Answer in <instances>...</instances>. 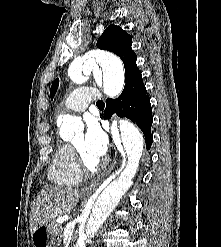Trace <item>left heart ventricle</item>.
I'll return each mask as SVG.
<instances>
[{
    "mask_svg": "<svg viewBox=\"0 0 221 247\" xmlns=\"http://www.w3.org/2000/svg\"><path fill=\"white\" fill-rule=\"evenodd\" d=\"M73 144L80 150V152L85 156V158L90 162H95L97 159L90 156L84 148V136L82 134L78 135L74 141Z\"/></svg>",
    "mask_w": 221,
    "mask_h": 247,
    "instance_id": "obj_1",
    "label": "left heart ventricle"
}]
</instances>
